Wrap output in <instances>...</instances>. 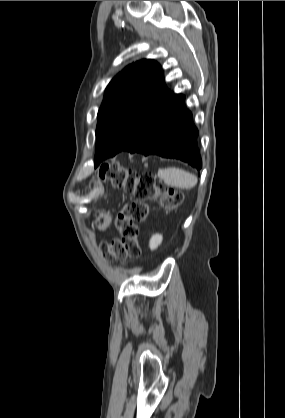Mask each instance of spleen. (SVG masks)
<instances>
[{"label":"spleen","mask_w":285,"mask_h":418,"mask_svg":"<svg viewBox=\"0 0 285 418\" xmlns=\"http://www.w3.org/2000/svg\"><path fill=\"white\" fill-rule=\"evenodd\" d=\"M158 177L163 179L167 185L182 189H191L197 184L195 175L175 167L159 169Z\"/></svg>","instance_id":"1"}]
</instances>
